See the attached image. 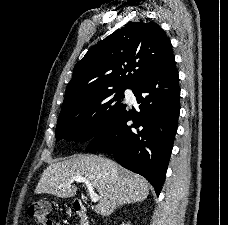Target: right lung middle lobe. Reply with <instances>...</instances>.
<instances>
[{
	"mask_svg": "<svg viewBox=\"0 0 228 225\" xmlns=\"http://www.w3.org/2000/svg\"><path fill=\"white\" fill-rule=\"evenodd\" d=\"M123 87H114L62 106L57 140L86 142L107 127L125 109Z\"/></svg>",
	"mask_w": 228,
	"mask_h": 225,
	"instance_id": "dd1d6c3e",
	"label": "right lung middle lobe"
}]
</instances>
